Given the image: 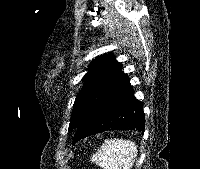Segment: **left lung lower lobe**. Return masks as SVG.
Instances as JSON below:
<instances>
[{"label": "left lung lower lobe", "instance_id": "obj_1", "mask_svg": "<svg viewBox=\"0 0 200 169\" xmlns=\"http://www.w3.org/2000/svg\"><path fill=\"white\" fill-rule=\"evenodd\" d=\"M143 104L134 97L129 80L99 100L76 128L73 144L107 130L144 132Z\"/></svg>", "mask_w": 200, "mask_h": 169}]
</instances>
